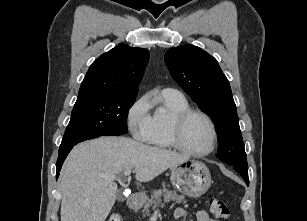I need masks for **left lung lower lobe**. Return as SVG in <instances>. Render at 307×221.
Instances as JSON below:
<instances>
[{
	"label": "left lung lower lobe",
	"instance_id": "0a47b994",
	"mask_svg": "<svg viewBox=\"0 0 307 221\" xmlns=\"http://www.w3.org/2000/svg\"><path fill=\"white\" fill-rule=\"evenodd\" d=\"M245 180L246 184L249 185L248 171H243L238 168H234Z\"/></svg>",
	"mask_w": 307,
	"mask_h": 221
}]
</instances>
